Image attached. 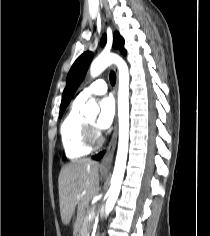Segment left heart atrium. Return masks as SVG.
Masks as SVG:
<instances>
[{
	"instance_id": "obj_1",
	"label": "left heart atrium",
	"mask_w": 210,
	"mask_h": 236,
	"mask_svg": "<svg viewBox=\"0 0 210 236\" xmlns=\"http://www.w3.org/2000/svg\"><path fill=\"white\" fill-rule=\"evenodd\" d=\"M115 106L114 101L110 97L104 98L100 103V113L96 121V126L99 130L108 129L114 119Z\"/></svg>"
}]
</instances>
